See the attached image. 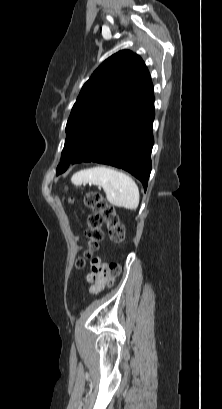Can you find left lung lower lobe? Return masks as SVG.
I'll list each match as a JSON object with an SVG mask.
<instances>
[{
    "label": "left lung lower lobe",
    "instance_id": "obj_1",
    "mask_svg": "<svg viewBox=\"0 0 222 409\" xmlns=\"http://www.w3.org/2000/svg\"><path fill=\"white\" fill-rule=\"evenodd\" d=\"M153 120L154 97L147 102L127 100L72 164L97 162L122 168L138 178L146 190L154 143Z\"/></svg>",
    "mask_w": 222,
    "mask_h": 409
}]
</instances>
